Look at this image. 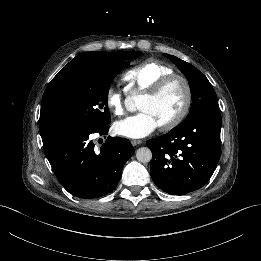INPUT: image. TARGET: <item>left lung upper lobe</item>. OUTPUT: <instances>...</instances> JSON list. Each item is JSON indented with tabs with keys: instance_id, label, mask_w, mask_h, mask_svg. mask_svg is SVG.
Masks as SVG:
<instances>
[{
	"instance_id": "5c2ea615",
	"label": "left lung upper lobe",
	"mask_w": 261,
	"mask_h": 261,
	"mask_svg": "<svg viewBox=\"0 0 261 261\" xmlns=\"http://www.w3.org/2000/svg\"><path fill=\"white\" fill-rule=\"evenodd\" d=\"M164 56L177 65L187 78L191 89L192 106L190 113L182 124L203 114L220 115L216 93L203 73L193 65L175 56L169 54H164Z\"/></svg>"
}]
</instances>
